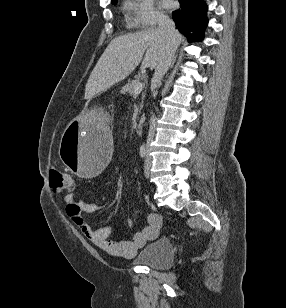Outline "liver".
<instances>
[{
    "instance_id": "liver-1",
    "label": "liver",
    "mask_w": 286,
    "mask_h": 308,
    "mask_svg": "<svg viewBox=\"0 0 286 308\" xmlns=\"http://www.w3.org/2000/svg\"><path fill=\"white\" fill-rule=\"evenodd\" d=\"M177 41L178 45L183 41L180 33ZM165 45L163 34L154 28L115 37L101 55L87 81L85 99H91L124 80L140 63L142 68L154 69L164 53ZM83 117L92 125L103 124L104 121L92 111H87Z\"/></svg>"
}]
</instances>
